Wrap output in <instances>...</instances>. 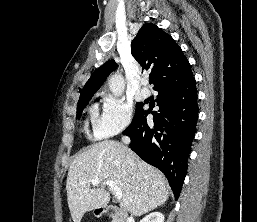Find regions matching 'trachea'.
I'll list each match as a JSON object with an SVG mask.
<instances>
[{
    "label": "trachea",
    "instance_id": "trachea-1",
    "mask_svg": "<svg viewBox=\"0 0 257 222\" xmlns=\"http://www.w3.org/2000/svg\"><path fill=\"white\" fill-rule=\"evenodd\" d=\"M154 82V78L153 77H149V83L152 84Z\"/></svg>",
    "mask_w": 257,
    "mask_h": 222
}]
</instances>
